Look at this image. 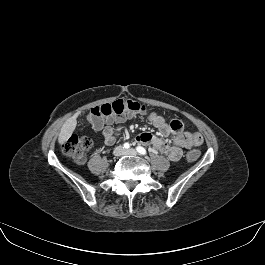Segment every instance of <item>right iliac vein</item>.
Returning a JSON list of instances; mask_svg holds the SVG:
<instances>
[{
	"label": "right iliac vein",
	"instance_id": "63e3f726",
	"mask_svg": "<svg viewBox=\"0 0 265 265\" xmlns=\"http://www.w3.org/2000/svg\"><path fill=\"white\" fill-rule=\"evenodd\" d=\"M124 153H125V150H124V148L121 147V146L117 147V148L115 149V151H114V155H115V156H121V155H124Z\"/></svg>",
	"mask_w": 265,
	"mask_h": 265
}]
</instances>
